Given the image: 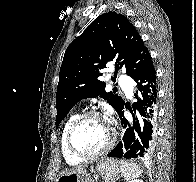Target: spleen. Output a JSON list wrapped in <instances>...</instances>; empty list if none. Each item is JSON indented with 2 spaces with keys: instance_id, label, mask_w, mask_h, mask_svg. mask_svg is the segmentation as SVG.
Masks as SVG:
<instances>
[{
  "instance_id": "1",
  "label": "spleen",
  "mask_w": 196,
  "mask_h": 182,
  "mask_svg": "<svg viewBox=\"0 0 196 182\" xmlns=\"http://www.w3.org/2000/svg\"><path fill=\"white\" fill-rule=\"evenodd\" d=\"M119 164H120L119 167H120L121 175L126 180L139 177L142 174L141 169L138 166H136L130 162L122 160V161H120Z\"/></svg>"
}]
</instances>
